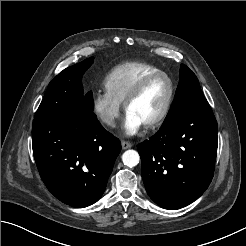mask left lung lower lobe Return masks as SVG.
Segmentation results:
<instances>
[{"mask_svg":"<svg viewBox=\"0 0 246 246\" xmlns=\"http://www.w3.org/2000/svg\"><path fill=\"white\" fill-rule=\"evenodd\" d=\"M217 121L209 104L186 110L138 145L141 173L150 198L165 209L198 199L214 174Z\"/></svg>","mask_w":246,"mask_h":246,"instance_id":"1","label":"left lung lower lobe"}]
</instances>
